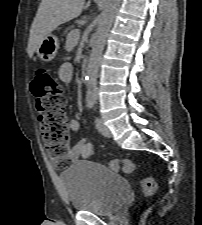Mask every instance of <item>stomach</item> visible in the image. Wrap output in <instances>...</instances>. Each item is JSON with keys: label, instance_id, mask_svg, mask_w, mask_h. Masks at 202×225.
<instances>
[{"label": "stomach", "instance_id": "1", "mask_svg": "<svg viewBox=\"0 0 202 225\" xmlns=\"http://www.w3.org/2000/svg\"><path fill=\"white\" fill-rule=\"evenodd\" d=\"M59 49V41L54 35H46L36 49L37 56L45 62L53 60Z\"/></svg>", "mask_w": 202, "mask_h": 225}]
</instances>
